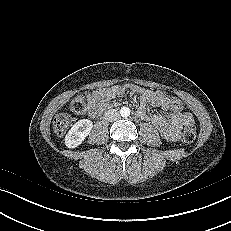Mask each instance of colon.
Wrapping results in <instances>:
<instances>
[{
	"label": "colon",
	"mask_w": 231,
	"mask_h": 231,
	"mask_svg": "<svg viewBox=\"0 0 231 231\" xmlns=\"http://www.w3.org/2000/svg\"><path fill=\"white\" fill-rule=\"evenodd\" d=\"M171 106L176 110H181L183 108L182 101L177 97L170 98ZM70 109L76 114H83L86 109V103L84 99L80 96L74 98L70 104ZM70 124V116L67 113L58 114L53 121V129L56 135L63 136ZM182 138L186 142H192L196 138V128L194 124H187L183 127Z\"/></svg>",
	"instance_id": "colon-1"
}]
</instances>
